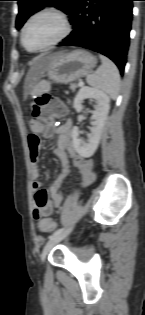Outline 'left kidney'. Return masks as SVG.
Instances as JSON below:
<instances>
[{"label":"left kidney","mask_w":145,"mask_h":315,"mask_svg":"<svg viewBox=\"0 0 145 315\" xmlns=\"http://www.w3.org/2000/svg\"><path fill=\"white\" fill-rule=\"evenodd\" d=\"M87 98L94 99L97 102L94 111H92V119L94 122L92 123L91 134L89 136L88 143H84L79 138L78 127L75 126L72 129L73 146L76 152L84 158L91 157L96 151L110 108V99L104 92L85 86L79 90L74 99L73 107L75 108L76 112H81L82 102Z\"/></svg>","instance_id":"5707ae66"}]
</instances>
